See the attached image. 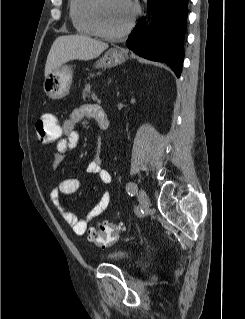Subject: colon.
Returning a JSON list of instances; mask_svg holds the SVG:
<instances>
[{
  "label": "colon",
  "instance_id": "1",
  "mask_svg": "<svg viewBox=\"0 0 245 319\" xmlns=\"http://www.w3.org/2000/svg\"><path fill=\"white\" fill-rule=\"evenodd\" d=\"M36 135L39 142L52 144L62 134V126L53 114L46 113L38 117L35 123ZM121 227L119 225L102 221L97 227L89 229L88 236L91 241L101 247H106L120 238Z\"/></svg>",
  "mask_w": 245,
  "mask_h": 319
}]
</instances>
